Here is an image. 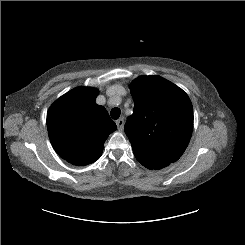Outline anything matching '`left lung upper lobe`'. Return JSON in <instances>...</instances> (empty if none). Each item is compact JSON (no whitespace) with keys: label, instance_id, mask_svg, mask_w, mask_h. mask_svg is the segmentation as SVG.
Returning <instances> with one entry per match:
<instances>
[{"label":"left lung upper lobe","instance_id":"obj_1","mask_svg":"<svg viewBox=\"0 0 245 245\" xmlns=\"http://www.w3.org/2000/svg\"><path fill=\"white\" fill-rule=\"evenodd\" d=\"M134 113L125 133L136 159L148 169L176 162L186 150L193 129L188 95L160 76H141L130 84Z\"/></svg>","mask_w":245,"mask_h":245}]
</instances>
